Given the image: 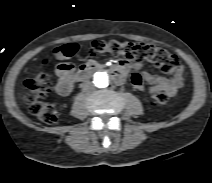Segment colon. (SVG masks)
<instances>
[{
    "instance_id": "1",
    "label": "colon",
    "mask_w": 212,
    "mask_h": 183,
    "mask_svg": "<svg viewBox=\"0 0 212 183\" xmlns=\"http://www.w3.org/2000/svg\"><path fill=\"white\" fill-rule=\"evenodd\" d=\"M88 49L94 54L109 53L120 56L127 60H148L153 62L161 71L167 74H175L179 67V60L165 48L151 44L130 41H102L96 40L89 44ZM78 51V45L68 43L57 46L52 50V55L60 60H66ZM63 69H72L73 66L67 62L59 64ZM25 100L29 105L31 113L45 123H53L57 119V110L54 103L47 101L51 91L48 75L39 71L25 81ZM152 100L156 104H165L169 96L160 91L153 93Z\"/></svg>"
}]
</instances>
